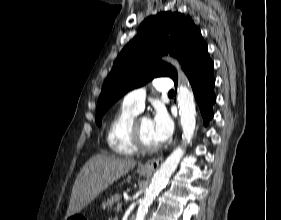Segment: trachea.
Wrapping results in <instances>:
<instances>
[{
    "label": "trachea",
    "instance_id": "3493384b",
    "mask_svg": "<svg viewBox=\"0 0 281 220\" xmlns=\"http://www.w3.org/2000/svg\"><path fill=\"white\" fill-rule=\"evenodd\" d=\"M169 95H173L174 94V91L173 90H171V91H169V93H168Z\"/></svg>",
    "mask_w": 281,
    "mask_h": 220
}]
</instances>
